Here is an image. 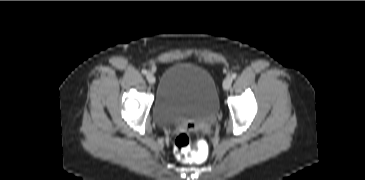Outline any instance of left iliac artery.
I'll list each match as a JSON object with an SVG mask.
<instances>
[{"label": "left iliac artery", "instance_id": "obj_1", "mask_svg": "<svg viewBox=\"0 0 365 180\" xmlns=\"http://www.w3.org/2000/svg\"><path fill=\"white\" fill-rule=\"evenodd\" d=\"M231 77H232V79H235V78L237 77V74H236V73H233V74L231 75Z\"/></svg>", "mask_w": 365, "mask_h": 180}]
</instances>
